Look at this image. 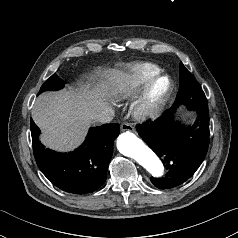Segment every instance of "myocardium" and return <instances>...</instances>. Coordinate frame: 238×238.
<instances>
[{"label": "myocardium", "instance_id": "f54148a6", "mask_svg": "<svg viewBox=\"0 0 238 238\" xmlns=\"http://www.w3.org/2000/svg\"><path fill=\"white\" fill-rule=\"evenodd\" d=\"M171 91L172 82L167 75L158 74L149 79L132 104L131 111L135 119L145 121L156 116L167 102Z\"/></svg>", "mask_w": 238, "mask_h": 238}]
</instances>
